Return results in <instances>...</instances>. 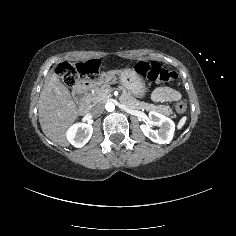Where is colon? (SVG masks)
I'll list each match as a JSON object with an SVG mask.
<instances>
[{"label": "colon", "mask_w": 236, "mask_h": 236, "mask_svg": "<svg viewBox=\"0 0 236 236\" xmlns=\"http://www.w3.org/2000/svg\"><path fill=\"white\" fill-rule=\"evenodd\" d=\"M96 69L97 65L95 63H64L58 66L57 74L62 83L66 86H72L82 75L88 74L89 71ZM136 72L142 77L156 83L172 82L178 77L175 71L166 70L155 61H141L137 63ZM176 110L179 114L185 113L187 110V102L180 100L176 105Z\"/></svg>", "instance_id": "colon-1"}]
</instances>
